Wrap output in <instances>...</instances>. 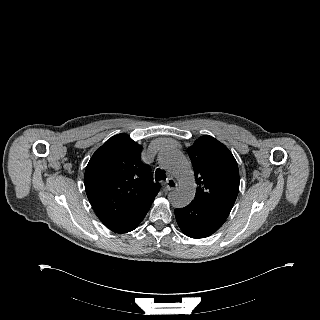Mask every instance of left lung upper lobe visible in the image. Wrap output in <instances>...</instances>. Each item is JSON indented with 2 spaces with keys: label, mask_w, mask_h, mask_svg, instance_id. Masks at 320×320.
Masks as SVG:
<instances>
[{
  "label": "left lung upper lobe",
  "mask_w": 320,
  "mask_h": 320,
  "mask_svg": "<svg viewBox=\"0 0 320 320\" xmlns=\"http://www.w3.org/2000/svg\"><path fill=\"white\" fill-rule=\"evenodd\" d=\"M197 184L194 201L230 213L239 191V170L229 149L204 135L188 148Z\"/></svg>",
  "instance_id": "1"
}]
</instances>
